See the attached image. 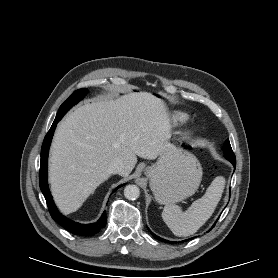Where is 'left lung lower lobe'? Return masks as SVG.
<instances>
[{
    "label": "left lung lower lobe",
    "mask_w": 278,
    "mask_h": 278,
    "mask_svg": "<svg viewBox=\"0 0 278 278\" xmlns=\"http://www.w3.org/2000/svg\"><path fill=\"white\" fill-rule=\"evenodd\" d=\"M230 161V160H229ZM232 164H233V166L235 167V165H236V162L235 161H230ZM214 226V225H213ZM213 226H212V228H213ZM211 228V229H212ZM153 234V233H152ZM153 236L155 237V238H157L158 240H160V241H163V242H168L169 243V241H167V240H165V239H162V238H160V237H158V236H156L155 234H153Z\"/></svg>",
    "instance_id": "0a47b994"
}]
</instances>
